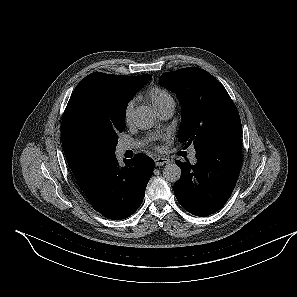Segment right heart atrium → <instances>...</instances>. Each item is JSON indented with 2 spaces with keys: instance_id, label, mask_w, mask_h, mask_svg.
Here are the masks:
<instances>
[{
  "instance_id": "right-heart-atrium-1",
  "label": "right heart atrium",
  "mask_w": 297,
  "mask_h": 297,
  "mask_svg": "<svg viewBox=\"0 0 297 297\" xmlns=\"http://www.w3.org/2000/svg\"><path fill=\"white\" fill-rule=\"evenodd\" d=\"M133 107H134V100H131L127 103L125 107L124 115H125L126 122H128L131 119Z\"/></svg>"
}]
</instances>
